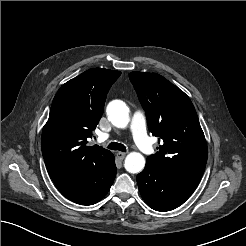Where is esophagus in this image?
Listing matches in <instances>:
<instances>
[{
	"label": "esophagus",
	"instance_id": "1",
	"mask_svg": "<svg viewBox=\"0 0 246 246\" xmlns=\"http://www.w3.org/2000/svg\"><path fill=\"white\" fill-rule=\"evenodd\" d=\"M125 156H126V153H124V152H117L116 153V157L120 160L124 159Z\"/></svg>",
	"mask_w": 246,
	"mask_h": 246
}]
</instances>
